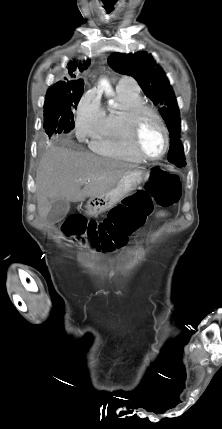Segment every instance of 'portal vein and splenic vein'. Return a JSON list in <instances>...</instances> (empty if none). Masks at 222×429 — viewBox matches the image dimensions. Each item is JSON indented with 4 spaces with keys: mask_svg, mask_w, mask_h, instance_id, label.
I'll return each instance as SVG.
<instances>
[{
    "mask_svg": "<svg viewBox=\"0 0 222 429\" xmlns=\"http://www.w3.org/2000/svg\"><path fill=\"white\" fill-rule=\"evenodd\" d=\"M89 181V180H88ZM82 183L84 184V183H86V181H82Z\"/></svg>",
    "mask_w": 222,
    "mask_h": 429,
    "instance_id": "18ae733b",
    "label": "portal vein and splenic vein"
}]
</instances>
